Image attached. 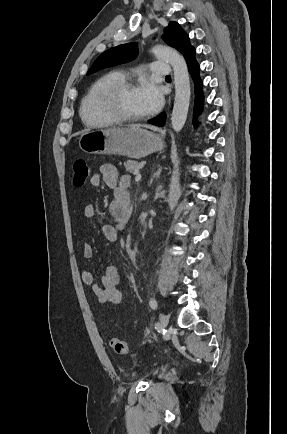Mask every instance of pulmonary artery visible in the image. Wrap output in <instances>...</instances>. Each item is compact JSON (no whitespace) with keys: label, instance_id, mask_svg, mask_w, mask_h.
Instances as JSON below:
<instances>
[{"label":"pulmonary artery","instance_id":"e3ab8cb5","mask_svg":"<svg viewBox=\"0 0 287 434\" xmlns=\"http://www.w3.org/2000/svg\"><path fill=\"white\" fill-rule=\"evenodd\" d=\"M150 72L154 75L167 76L170 74V65L168 63L153 62L150 64ZM125 76V74L123 73Z\"/></svg>","mask_w":287,"mask_h":434}]
</instances>
